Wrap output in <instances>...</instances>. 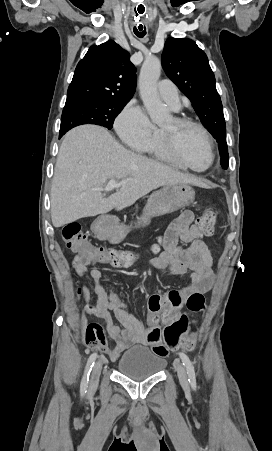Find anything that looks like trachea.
Listing matches in <instances>:
<instances>
[{
  "label": "trachea",
  "mask_w": 272,
  "mask_h": 451,
  "mask_svg": "<svg viewBox=\"0 0 272 451\" xmlns=\"http://www.w3.org/2000/svg\"><path fill=\"white\" fill-rule=\"evenodd\" d=\"M135 34H136L137 36H139V37H144L145 32H144V33H138V32L135 31Z\"/></svg>",
  "instance_id": "3493384b"
}]
</instances>
